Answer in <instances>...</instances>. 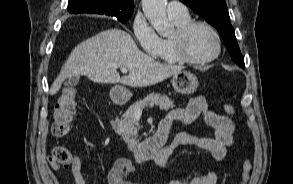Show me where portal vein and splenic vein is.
I'll list each match as a JSON object with an SVG mask.
<instances>
[{"label": "portal vein and splenic vein", "mask_w": 293, "mask_h": 184, "mask_svg": "<svg viewBox=\"0 0 293 184\" xmlns=\"http://www.w3.org/2000/svg\"><path fill=\"white\" fill-rule=\"evenodd\" d=\"M120 70H121L122 73H127L128 72V70L126 68H120ZM136 112L138 114H141L142 113V110L141 109H138Z\"/></svg>", "instance_id": "obj_1"}]
</instances>
